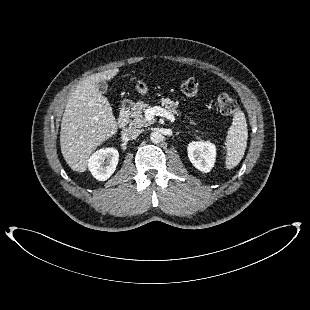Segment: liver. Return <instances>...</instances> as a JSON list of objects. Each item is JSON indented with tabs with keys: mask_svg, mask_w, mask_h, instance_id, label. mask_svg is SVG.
<instances>
[{
	"mask_svg": "<svg viewBox=\"0 0 310 310\" xmlns=\"http://www.w3.org/2000/svg\"><path fill=\"white\" fill-rule=\"evenodd\" d=\"M119 69L92 74L70 93L61 121L60 147L64 160L76 172H85L93 151L115 135L116 119L99 81L111 80Z\"/></svg>",
	"mask_w": 310,
	"mask_h": 310,
	"instance_id": "6515ba94",
	"label": "liver"
}]
</instances>
